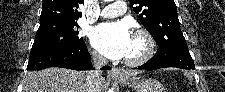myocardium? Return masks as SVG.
<instances>
[{"label":"myocardium","instance_id":"myocardium-1","mask_svg":"<svg viewBox=\"0 0 225 92\" xmlns=\"http://www.w3.org/2000/svg\"><path fill=\"white\" fill-rule=\"evenodd\" d=\"M133 37L143 43L144 52L138 58H126L124 62L127 66L136 67L151 59L155 52V42L151 34L145 29L136 30Z\"/></svg>","mask_w":225,"mask_h":92}]
</instances>
